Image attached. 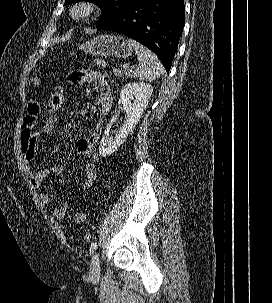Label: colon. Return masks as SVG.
I'll list each match as a JSON object with an SVG mask.
<instances>
[{
    "label": "colon",
    "instance_id": "1",
    "mask_svg": "<svg viewBox=\"0 0 272 303\" xmlns=\"http://www.w3.org/2000/svg\"><path fill=\"white\" fill-rule=\"evenodd\" d=\"M95 65L99 69H107L111 72V74L119 78L122 76V70L117 67L111 65L104 58H96L94 59ZM64 103V93L63 89L60 86L55 87L49 95V99L46 106V116L42 124V128L45 130L54 131L57 125L59 113ZM86 220V214L84 212H78L74 215V221L76 223H82Z\"/></svg>",
    "mask_w": 272,
    "mask_h": 303
}]
</instances>
